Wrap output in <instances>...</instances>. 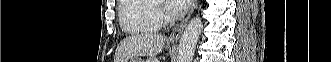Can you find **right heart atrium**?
Returning <instances> with one entry per match:
<instances>
[{
	"label": "right heart atrium",
	"mask_w": 331,
	"mask_h": 62,
	"mask_svg": "<svg viewBox=\"0 0 331 62\" xmlns=\"http://www.w3.org/2000/svg\"><path fill=\"white\" fill-rule=\"evenodd\" d=\"M155 15L157 18H159L160 20H164L165 19V15L164 13L160 12V11H157L155 12Z\"/></svg>",
	"instance_id": "right-heart-atrium-1"
}]
</instances>
